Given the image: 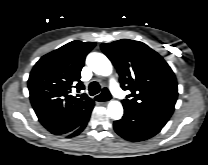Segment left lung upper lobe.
<instances>
[{"mask_svg":"<svg viewBox=\"0 0 208 165\" xmlns=\"http://www.w3.org/2000/svg\"><path fill=\"white\" fill-rule=\"evenodd\" d=\"M101 49L116 67L121 88L131 91L122 101L124 107L172 115L178 96L177 81L170 66L157 52L142 42L129 39L103 43Z\"/></svg>","mask_w":208,"mask_h":165,"instance_id":"obj_1","label":"left lung upper lobe"}]
</instances>
